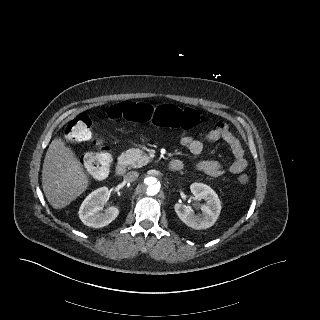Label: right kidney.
I'll use <instances>...</instances> for the list:
<instances>
[{
	"instance_id": "ca27d5eb",
	"label": "right kidney",
	"mask_w": 320,
	"mask_h": 320,
	"mask_svg": "<svg viewBox=\"0 0 320 320\" xmlns=\"http://www.w3.org/2000/svg\"><path fill=\"white\" fill-rule=\"evenodd\" d=\"M109 190L107 187H101L90 193L82 202L79 208V218L81 221L93 228H102L110 224L119 214L117 207H109L104 213L103 205L109 199Z\"/></svg>"
}]
</instances>
